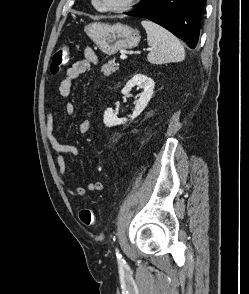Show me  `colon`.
<instances>
[{
	"instance_id": "1",
	"label": "colon",
	"mask_w": 249,
	"mask_h": 294,
	"mask_svg": "<svg viewBox=\"0 0 249 294\" xmlns=\"http://www.w3.org/2000/svg\"><path fill=\"white\" fill-rule=\"evenodd\" d=\"M69 61V46L61 45L55 51L53 56L50 71L52 74H58L63 70ZM79 219L85 226L91 227L96 223L95 213L88 207H83L79 210Z\"/></svg>"
}]
</instances>
